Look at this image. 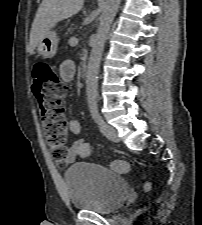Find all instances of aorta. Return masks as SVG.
I'll list each match as a JSON object with an SVG mask.
<instances>
[{"label":"aorta","instance_id":"aorta-1","mask_svg":"<svg viewBox=\"0 0 202 225\" xmlns=\"http://www.w3.org/2000/svg\"><path fill=\"white\" fill-rule=\"evenodd\" d=\"M121 0H106L105 8L100 16V22L86 72V96L89 103L96 102L98 89V73L105 41L110 26L119 8Z\"/></svg>","mask_w":202,"mask_h":225}]
</instances>
